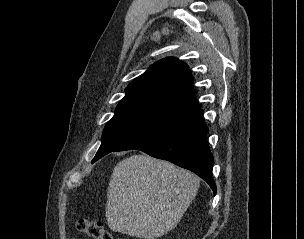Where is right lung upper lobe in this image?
Masks as SVG:
<instances>
[{
	"label": "right lung upper lobe",
	"mask_w": 304,
	"mask_h": 239,
	"mask_svg": "<svg viewBox=\"0 0 304 239\" xmlns=\"http://www.w3.org/2000/svg\"><path fill=\"white\" fill-rule=\"evenodd\" d=\"M192 84L184 62L162 59L128 85L116 112L142 111L174 120L200 108Z\"/></svg>",
	"instance_id": "cb5924a9"
}]
</instances>
